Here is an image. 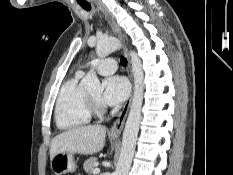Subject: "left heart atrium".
I'll return each instance as SVG.
<instances>
[{
	"label": "left heart atrium",
	"mask_w": 233,
	"mask_h": 175,
	"mask_svg": "<svg viewBox=\"0 0 233 175\" xmlns=\"http://www.w3.org/2000/svg\"><path fill=\"white\" fill-rule=\"evenodd\" d=\"M129 92L130 87L125 78L118 75L111 76L104 81L101 100L106 105L118 106L127 99Z\"/></svg>",
	"instance_id": "obj_1"
}]
</instances>
